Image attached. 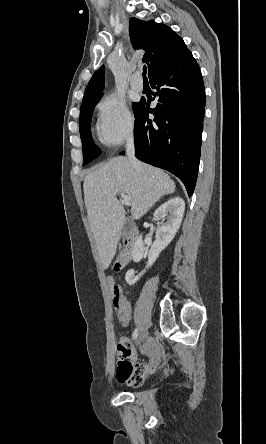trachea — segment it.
Listing matches in <instances>:
<instances>
[{
    "mask_svg": "<svg viewBox=\"0 0 266 444\" xmlns=\"http://www.w3.org/2000/svg\"><path fill=\"white\" fill-rule=\"evenodd\" d=\"M146 74H147V67L144 65L143 66V78L146 79Z\"/></svg>",
    "mask_w": 266,
    "mask_h": 444,
    "instance_id": "1",
    "label": "trachea"
}]
</instances>
